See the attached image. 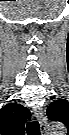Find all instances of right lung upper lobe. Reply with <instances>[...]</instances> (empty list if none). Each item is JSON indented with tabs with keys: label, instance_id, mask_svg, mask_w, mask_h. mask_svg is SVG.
Returning <instances> with one entry per match:
<instances>
[{
	"label": "right lung upper lobe",
	"instance_id": "1",
	"mask_svg": "<svg viewBox=\"0 0 69 135\" xmlns=\"http://www.w3.org/2000/svg\"><path fill=\"white\" fill-rule=\"evenodd\" d=\"M30 118V111L22 105L12 103L5 105L0 110V126L2 134L24 135V125Z\"/></svg>",
	"mask_w": 69,
	"mask_h": 135
}]
</instances>
